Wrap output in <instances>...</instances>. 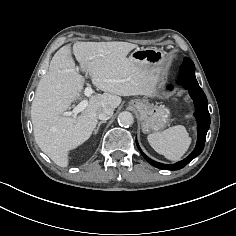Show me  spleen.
<instances>
[{
  "mask_svg": "<svg viewBox=\"0 0 236 236\" xmlns=\"http://www.w3.org/2000/svg\"><path fill=\"white\" fill-rule=\"evenodd\" d=\"M148 142L168 160L178 161L189 149L191 138L183 125H176L162 132L149 134Z\"/></svg>",
  "mask_w": 236,
  "mask_h": 236,
  "instance_id": "3e777b00",
  "label": "spleen"
}]
</instances>
